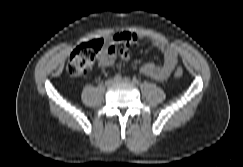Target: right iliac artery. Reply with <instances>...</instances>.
Listing matches in <instances>:
<instances>
[{
    "mask_svg": "<svg viewBox=\"0 0 243 167\" xmlns=\"http://www.w3.org/2000/svg\"><path fill=\"white\" fill-rule=\"evenodd\" d=\"M121 75L120 74H116L115 76H114V80H121Z\"/></svg>",
    "mask_w": 243,
    "mask_h": 167,
    "instance_id": "82829eb1",
    "label": "right iliac artery"
}]
</instances>
